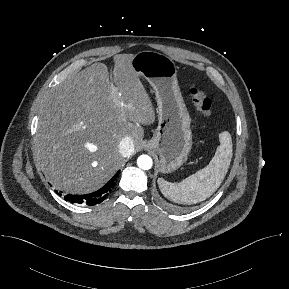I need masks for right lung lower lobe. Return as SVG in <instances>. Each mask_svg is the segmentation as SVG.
Instances as JSON below:
<instances>
[{
  "label": "right lung lower lobe",
  "mask_w": 289,
  "mask_h": 289,
  "mask_svg": "<svg viewBox=\"0 0 289 289\" xmlns=\"http://www.w3.org/2000/svg\"><path fill=\"white\" fill-rule=\"evenodd\" d=\"M118 174L119 171L112 177V179L105 186H103L98 191L86 195L68 194L64 198L65 200L71 203H79V204L84 203L90 206L98 204L108 196L109 192L111 191V188L115 185Z\"/></svg>",
  "instance_id": "right-lung-lower-lobe-1"
}]
</instances>
